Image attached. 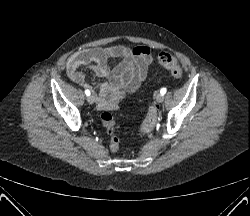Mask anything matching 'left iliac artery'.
Segmentation results:
<instances>
[{"label":"left iliac artery","instance_id":"left-iliac-artery-1","mask_svg":"<svg viewBox=\"0 0 250 216\" xmlns=\"http://www.w3.org/2000/svg\"><path fill=\"white\" fill-rule=\"evenodd\" d=\"M166 91H167L166 88H162L161 91H160V93L164 95L166 93Z\"/></svg>","mask_w":250,"mask_h":216}]
</instances>
